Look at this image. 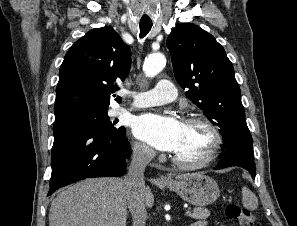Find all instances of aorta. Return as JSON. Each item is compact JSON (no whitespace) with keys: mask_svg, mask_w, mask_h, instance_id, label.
Wrapping results in <instances>:
<instances>
[{"mask_svg":"<svg viewBox=\"0 0 297 226\" xmlns=\"http://www.w3.org/2000/svg\"><path fill=\"white\" fill-rule=\"evenodd\" d=\"M165 64L166 59L163 54H151L144 61L143 71L147 77H155L163 70Z\"/></svg>","mask_w":297,"mask_h":226,"instance_id":"aorta-1","label":"aorta"}]
</instances>
